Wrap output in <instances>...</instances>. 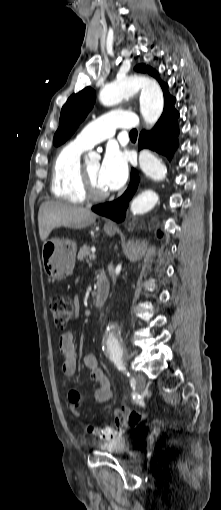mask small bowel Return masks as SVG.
I'll return each instance as SVG.
<instances>
[{
    "instance_id": "1",
    "label": "small bowel",
    "mask_w": 221,
    "mask_h": 510,
    "mask_svg": "<svg viewBox=\"0 0 221 510\" xmlns=\"http://www.w3.org/2000/svg\"><path fill=\"white\" fill-rule=\"evenodd\" d=\"M76 309L78 308V301L75 300ZM59 350L62 355V363L61 369L62 372L67 376H72L76 372L77 368V352L75 346L74 335L72 332H65L61 334L58 341ZM85 366L90 371V376L93 381H95L98 385L97 390L95 391L94 398L97 403H104L108 401L113 394V385L108 377V375L102 370V368L98 365L97 357L92 351H86L83 357ZM66 406L68 410L74 415L79 416L82 404H81V396L79 392L75 390H71L68 393V399L66 402ZM129 411V408L122 407L116 408L114 410V422L115 429H112L113 436L115 437L121 434L124 430L127 429L128 425L119 412Z\"/></svg>"
}]
</instances>
